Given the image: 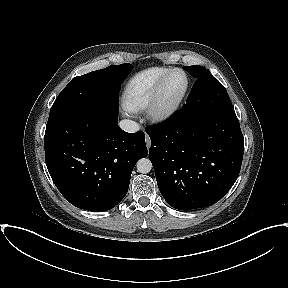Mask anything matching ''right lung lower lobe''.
Wrapping results in <instances>:
<instances>
[{
	"mask_svg": "<svg viewBox=\"0 0 288 288\" xmlns=\"http://www.w3.org/2000/svg\"><path fill=\"white\" fill-rule=\"evenodd\" d=\"M45 160L60 193L92 212L115 207L128 191L132 170L147 156L145 135L127 133L118 116L80 113L46 126Z\"/></svg>",
	"mask_w": 288,
	"mask_h": 288,
	"instance_id": "98d812e1",
	"label": "right lung lower lobe"
}]
</instances>
